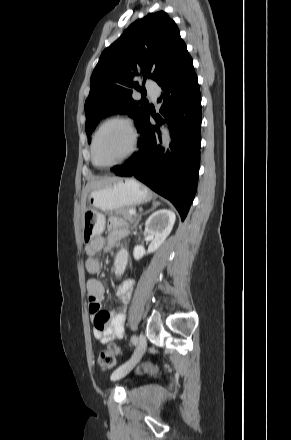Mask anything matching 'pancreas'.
<instances>
[{"label": "pancreas", "mask_w": 291, "mask_h": 440, "mask_svg": "<svg viewBox=\"0 0 291 440\" xmlns=\"http://www.w3.org/2000/svg\"><path fill=\"white\" fill-rule=\"evenodd\" d=\"M129 208H118L113 212H108L107 215H117L122 216L125 220L129 221L130 223H133L135 221V216L131 215L129 213Z\"/></svg>", "instance_id": "cf45deb5"}]
</instances>
